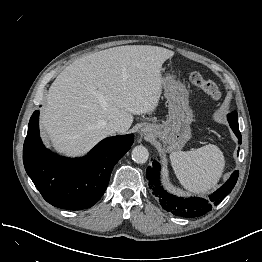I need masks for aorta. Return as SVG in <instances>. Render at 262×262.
Instances as JSON below:
<instances>
[{"label":"aorta","mask_w":262,"mask_h":262,"mask_svg":"<svg viewBox=\"0 0 262 262\" xmlns=\"http://www.w3.org/2000/svg\"><path fill=\"white\" fill-rule=\"evenodd\" d=\"M149 158V152L146 147L138 145L132 150V159L138 164L145 163Z\"/></svg>","instance_id":"1"}]
</instances>
